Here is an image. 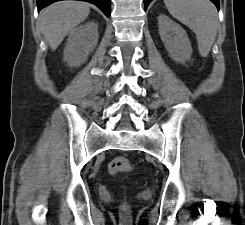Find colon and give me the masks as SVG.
<instances>
[{"label": "colon", "mask_w": 245, "mask_h": 225, "mask_svg": "<svg viewBox=\"0 0 245 225\" xmlns=\"http://www.w3.org/2000/svg\"><path fill=\"white\" fill-rule=\"evenodd\" d=\"M131 170L132 163L124 156L115 157L108 164V171L112 176L128 173ZM121 213L123 215L124 221L128 222L130 220V206L126 201L121 204Z\"/></svg>", "instance_id": "colon-1"}]
</instances>
